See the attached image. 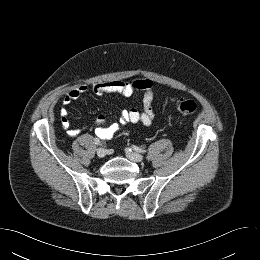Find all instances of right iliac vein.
I'll list each match as a JSON object with an SVG mask.
<instances>
[{
    "label": "right iliac vein",
    "mask_w": 260,
    "mask_h": 260,
    "mask_svg": "<svg viewBox=\"0 0 260 260\" xmlns=\"http://www.w3.org/2000/svg\"><path fill=\"white\" fill-rule=\"evenodd\" d=\"M96 153H97L98 157L103 158L107 155V150L103 147H100L97 149Z\"/></svg>",
    "instance_id": "obj_1"
}]
</instances>
